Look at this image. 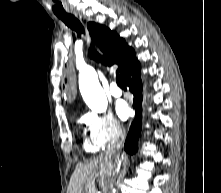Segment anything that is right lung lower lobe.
Segmentation results:
<instances>
[{
    "instance_id": "98d812e1",
    "label": "right lung lower lobe",
    "mask_w": 221,
    "mask_h": 193,
    "mask_svg": "<svg viewBox=\"0 0 221 193\" xmlns=\"http://www.w3.org/2000/svg\"><path fill=\"white\" fill-rule=\"evenodd\" d=\"M123 80L134 95L133 108L136 111V116L127 135L124 149L129 154H134L137 151L138 140L141 135L142 85L140 80V64H138Z\"/></svg>"
}]
</instances>
